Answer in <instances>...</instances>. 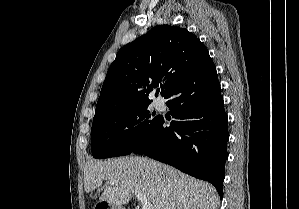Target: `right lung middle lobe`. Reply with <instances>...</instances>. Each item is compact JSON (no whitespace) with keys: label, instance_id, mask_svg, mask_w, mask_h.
<instances>
[{"label":"right lung middle lobe","instance_id":"right-lung-middle-lobe-1","mask_svg":"<svg viewBox=\"0 0 299 209\" xmlns=\"http://www.w3.org/2000/svg\"><path fill=\"white\" fill-rule=\"evenodd\" d=\"M149 104L125 106L95 115L91 129L93 157L103 159L130 154L160 118L150 110Z\"/></svg>","mask_w":299,"mask_h":209}]
</instances>
